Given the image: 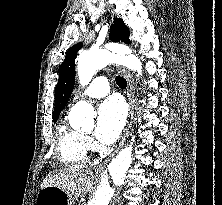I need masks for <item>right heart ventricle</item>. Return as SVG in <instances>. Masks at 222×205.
Segmentation results:
<instances>
[{"label":"right heart ventricle","instance_id":"right-heart-ventricle-1","mask_svg":"<svg viewBox=\"0 0 222 205\" xmlns=\"http://www.w3.org/2000/svg\"><path fill=\"white\" fill-rule=\"evenodd\" d=\"M56 155L68 167L83 166L88 160L86 138L63 121L57 129Z\"/></svg>","mask_w":222,"mask_h":205}]
</instances>
